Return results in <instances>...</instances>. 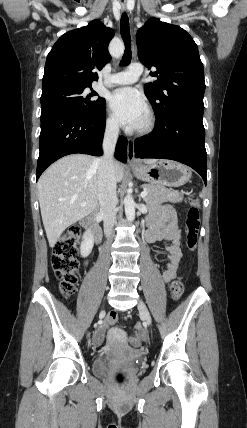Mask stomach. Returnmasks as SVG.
<instances>
[{
  "mask_svg": "<svg viewBox=\"0 0 247 428\" xmlns=\"http://www.w3.org/2000/svg\"><path fill=\"white\" fill-rule=\"evenodd\" d=\"M136 177L155 185L180 187L191 178L188 166L171 160H160L153 164H140L133 168Z\"/></svg>",
  "mask_w": 247,
  "mask_h": 428,
  "instance_id": "1",
  "label": "stomach"
}]
</instances>
